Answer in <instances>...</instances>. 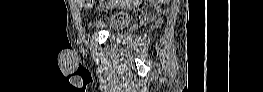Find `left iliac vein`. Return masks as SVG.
I'll return each mask as SVG.
<instances>
[{"instance_id": "left-iliac-vein-1", "label": "left iliac vein", "mask_w": 263, "mask_h": 92, "mask_svg": "<svg viewBox=\"0 0 263 92\" xmlns=\"http://www.w3.org/2000/svg\"><path fill=\"white\" fill-rule=\"evenodd\" d=\"M97 6H100V3H97Z\"/></svg>"}]
</instances>
